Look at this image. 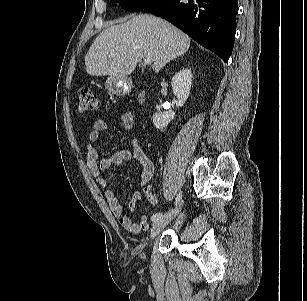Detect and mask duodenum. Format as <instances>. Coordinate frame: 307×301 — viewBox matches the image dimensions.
<instances>
[{
    "label": "duodenum",
    "mask_w": 307,
    "mask_h": 301,
    "mask_svg": "<svg viewBox=\"0 0 307 301\" xmlns=\"http://www.w3.org/2000/svg\"><path fill=\"white\" fill-rule=\"evenodd\" d=\"M139 99H140L141 102H144V101H145L146 95H145V92H144V91H142V92L140 93Z\"/></svg>",
    "instance_id": "410a0bca"
}]
</instances>
